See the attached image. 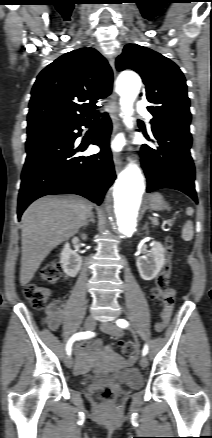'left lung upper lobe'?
I'll return each mask as SVG.
<instances>
[{
  "label": "left lung upper lobe",
  "mask_w": 212,
  "mask_h": 438,
  "mask_svg": "<svg viewBox=\"0 0 212 438\" xmlns=\"http://www.w3.org/2000/svg\"><path fill=\"white\" fill-rule=\"evenodd\" d=\"M118 71L132 69L145 84V95L152 104V124L188 126L191 121L186 80L170 59L143 46L127 44L116 60Z\"/></svg>",
  "instance_id": "left-lung-upper-lobe-1"
}]
</instances>
